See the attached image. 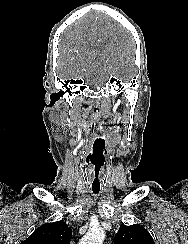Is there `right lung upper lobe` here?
Segmentation results:
<instances>
[{"instance_id":"1","label":"right lung upper lobe","mask_w":188,"mask_h":244,"mask_svg":"<svg viewBox=\"0 0 188 244\" xmlns=\"http://www.w3.org/2000/svg\"><path fill=\"white\" fill-rule=\"evenodd\" d=\"M72 230L63 221L46 223L38 227L21 244H69Z\"/></svg>"}]
</instances>
